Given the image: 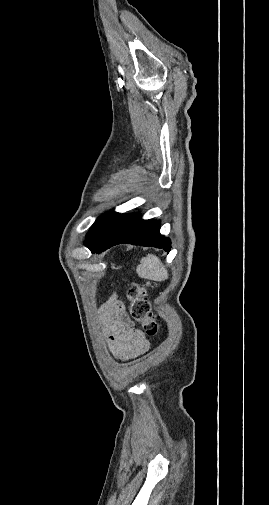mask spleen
Masks as SVG:
<instances>
[{"label":"spleen","instance_id":"obj_1","mask_svg":"<svg viewBox=\"0 0 269 505\" xmlns=\"http://www.w3.org/2000/svg\"><path fill=\"white\" fill-rule=\"evenodd\" d=\"M136 272L139 277L156 282L167 280L169 277L168 270L161 260L153 254H148L141 259Z\"/></svg>","mask_w":269,"mask_h":505}]
</instances>
